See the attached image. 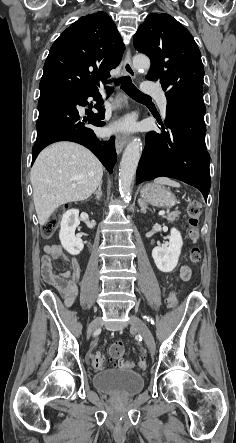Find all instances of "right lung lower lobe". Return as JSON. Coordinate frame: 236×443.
Masks as SVG:
<instances>
[{
  "label": "right lung lower lobe",
  "instance_id": "obj_1",
  "mask_svg": "<svg viewBox=\"0 0 236 443\" xmlns=\"http://www.w3.org/2000/svg\"><path fill=\"white\" fill-rule=\"evenodd\" d=\"M99 101L98 88L83 91L50 89L40 92L39 117L36 123L37 139L32 148V163L40 151L58 141L77 142L90 149L111 173L116 162L114 138L101 141L87 124L101 127L105 123L104 107L97 106L98 113L86 109L87 117H80L77 106H86L87 98Z\"/></svg>",
  "mask_w": 236,
  "mask_h": 443
}]
</instances>
